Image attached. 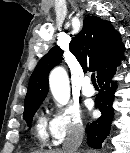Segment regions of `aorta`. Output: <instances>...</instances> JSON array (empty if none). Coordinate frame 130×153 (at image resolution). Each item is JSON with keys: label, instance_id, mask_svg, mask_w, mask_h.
<instances>
[{"label": "aorta", "instance_id": "aorta-1", "mask_svg": "<svg viewBox=\"0 0 130 153\" xmlns=\"http://www.w3.org/2000/svg\"><path fill=\"white\" fill-rule=\"evenodd\" d=\"M49 85L54 99L60 105H66L70 99V85L64 68L56 67L51 71Z\"/></svg>", "mask_w": 130, "mask_h": 153}]
</instances>
